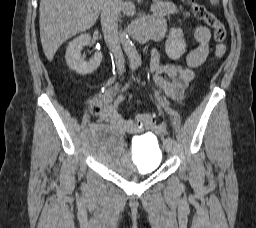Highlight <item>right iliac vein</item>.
<instances>
[{
	"mask_svg": "<svg viewBox=\"0 0 256 228\" xmlns=\"http://www.w3.org/2000/svg\"><path fill=\"white\" fill-rule=\"evenodd\" d=\"M95 133H96V130H95V129H89V130H88L89 138H92V136H94Z\"/></svg>",
	"mask_w": 256,
	"mask_h": 228,
	"instance_id": "63e3f726",
	"label": "right iliac vein"
}]
</instances>
